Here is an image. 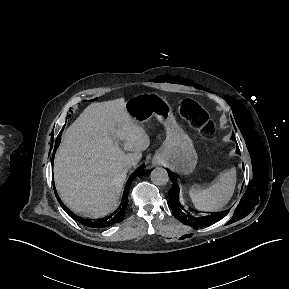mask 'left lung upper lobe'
Returning <instances> with one entry per match:
<instances>
[{"label": "left lung upper lobe", "mask_w": 289, "mask_h": 289, "mask_svg": "<svg viewBox=\"0 0 289 289\" xmlns=\"http://www.w3.org/2000/svg\"><path fill=\"white\" fill-rule=\"evenodd\" d=\"M231 138H232V140L236 141V139H235V136H234V135H232V137H231ZM236 152H237V153H240L238 146H237V148H236Z\"/></svg>", "instance_id": "obj_1"}]
</instances>
